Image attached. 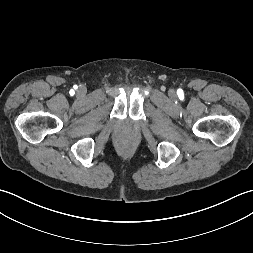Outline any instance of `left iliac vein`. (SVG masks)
<instances>
[{
	"label": "left iliac vein",
	"instance_id": "4c4485c4",
	"mask_svg": "<svg viewBox=\"0 0 253 253\" xmlns=\"http://www.w3.org/2000/svg\"><path fill=\"white\" fill-rule=\"evenodd\" d=\"M170 95L173 97L175 95V92L173 90L170 91Z\"/></svg>",
	"mask_w": 253,
	"mask_h": 253
}]
</instances>
